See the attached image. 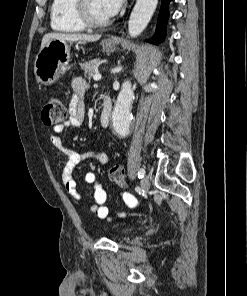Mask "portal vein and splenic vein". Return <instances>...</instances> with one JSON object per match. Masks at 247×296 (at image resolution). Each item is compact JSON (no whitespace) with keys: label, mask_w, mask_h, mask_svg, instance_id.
I'll return each mask as SVG.
<instances>
[{"label":"portal vein and splenic vein","mask_w":247,"mask_h":296,"mask_svg":"<svg viewBox=\"0 0 247 296\" xmlns=\"http://www.w3.org/2000/svg\"><path fill=\"white\" fill-rule=\"evenodd\" d=\"M102 75L100 73H96L94 76H93V79L95 81H99L101 79Z\"/></svg>","instance_id":"18ae733b"}]
</instances>
